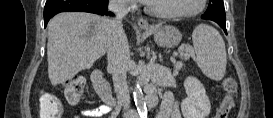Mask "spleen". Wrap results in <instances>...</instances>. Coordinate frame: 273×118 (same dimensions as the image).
<instances>
[{
	"instance_id": "spleen-1",
	"label": "spleen",
	"mask_w": 273,
	"mask_h": 118,
	"mask_svg": "<svg viewBox=\"0 0 273 118\" xmlns=\"http://www.w3.org/2000/svg\"><path fill=\"white\" fill-rule=\"evenodd\" d=\"M196 60L201 71L210 79L220 81L226 72L225 43L212 26L200 24L192 34Z\"/></svg>"
}]
</instances>
